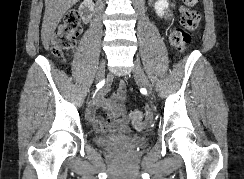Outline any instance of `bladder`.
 I'll list each match as a JSON object with an SVG mask.
<instances>
[{"instance_id": "bladder-1", "label": "bladder", "mask_w": 244, "mask_h": 179, "mask_svg": "<svg viewBox=\"0 0 244 179\" xmlns=\"http://www.w3.org/2000/svg\"><path fill=\"white\" fill-rule=\"evenodd\" d=\"M128 142L133 143L127 150L137 151L142 148L149 146L150 137L147 136H139L137 138L127 139Z\"/></svg>"}]
</instances>
